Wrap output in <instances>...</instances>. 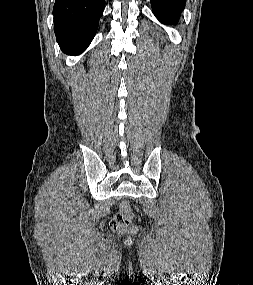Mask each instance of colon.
<instances>
[{
  "label": "colon",
  "instance_id": "1",
  "mask_svg": "<svg viewBox=\"0 0 253 285\" xmlns=\"http://www.w3.org/2000/svg\"><path fill=\"white\" fill-rule=\"evenodd\" d=\"M133 212L126 201H122L118 213L111 221V227L118 233L135 232L136 228L132 226Z\"/></svg>",
  "mask_w": 253,
  "mask_h": 285
}]
</instances>
